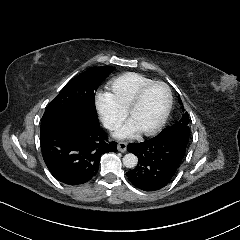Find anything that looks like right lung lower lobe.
<instances>
[{"label":"right lung lower lobe","mask_w":240,"mask_h":240,"mask_svg":"<svg viewBox=\"0 0 240 240\" xmlns=\"http://www.w3.org/2000/svg\"><path fill=\"white\" fill-rule=\"evenodd\" d=\"M44 162L52 175L68 185L86 183L96 175L104 153L116 152L97 118L79 116L40 130Z\"/></svg>","instance_id":"obj_1"}]
</instances>
